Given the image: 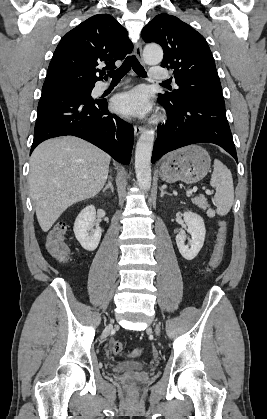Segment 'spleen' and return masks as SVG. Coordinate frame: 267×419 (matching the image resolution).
I'll return each mask as SVG.
<instances>
[{
	"label": "spleen",
	"instance_id": "3e777b00",
	"mask_svg": "<svg viewBox=\"0 0 267 419\" xmlns=\"http://www.w3.org/2000/svg\"><path fill=\"white\" fill-rule=\"evenodd\" d=\"M210 184L216 189L213 199L216 212L220 216H225L233 205L234 186L230 170L218 159L214 160Z\"/></svg>",
	"mask_w": 267,
	"mask_h": 419
}]
</instances>
